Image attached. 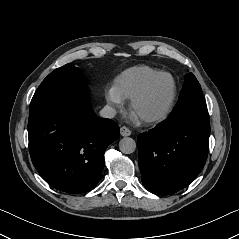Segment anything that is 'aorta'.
I'll list each match as a JSON object with an SVG mask.
<instances>
[{
    "mask_svg": "<svg viewBox=\"0 0 239 239\" xmlns=\"http://www.w3.org/2000/svg\"><path fill=\"white\" fill-rule=\"evenodd\" d=\"M136 142L130 137H124L119 141V149L124 154H131L136 150Z\"/></svg>",
    "mask_w": 239,
    "mask_h": 239,
    "instance_id": "aorta-1",
    "label": "aorta"
}]
</instances>
